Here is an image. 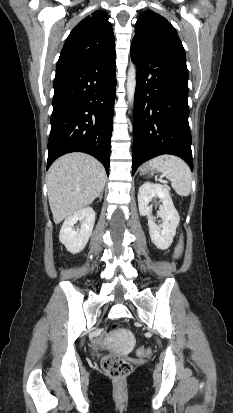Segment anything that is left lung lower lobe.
Wrapping results in <instances>:
<instances>
[{"mask_svg":"<svg viewBox=\"0 0 233 413\" xmlns=\"http://www.w3.org/2000/svg\"><path fill=\"white\" fill-rule=\"evenodd\" d=\"M130 55L138 66L133 175L142 163L162 154L179 156L193 171L187 67L134 46H131Z\"/></svg>","mask_w":233,"mask_h":413,"instance_id":"0a47b994","label":"left lung lower lobe"}]
</instances>
